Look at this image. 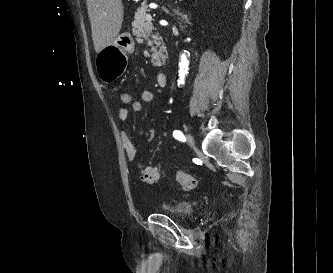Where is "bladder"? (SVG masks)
Listing matches in <instances>:
<instances>
[{
	"label": "bladder",
	"instance_id": "bladder-1",
	"mask_svg": "<svg viewBox=\"0 0 333 273\" xmlns=\"http://www.w3.org/2000/svg\"><path fill=\"white\" fill-rule=\"evenodd\" d=\"M193 211V206L189 202H180L176 204L174 207L168 209L166 213L171 217H174L178 220H186L188 219Z\"/></svg>",
	"mask_w": 333,
	"mask_h": 273
}]
</instances>
